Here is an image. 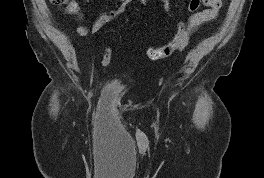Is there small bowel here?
I'll return each mask as SVG.
<instances>
[{"label":"small bowel","mask_w":264,"mask_h":178,"mask_svg":"<svg viewBox=\"0 0 264 178\" xmlns=\"http://www.w3.org/2000/svg\"><path fill=\"white\" fill-rule=\"evenodd\" d=\"M134 2L144 7L147 6V0H118L112 9L103 12L91 26H79L77 32L81 36H87L98 32L124 13ZM161 2L166 14L172 17L170 0H161ZM204 5L206 8L195 13L189 20V25L192 30L197 29L203 23L213 20L222 7V0H205Z\"/></svg>","instance_id":"small-bowel-1"}]
</instances>
